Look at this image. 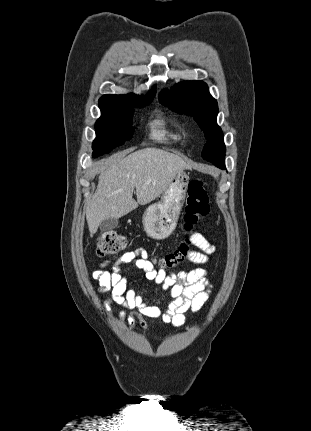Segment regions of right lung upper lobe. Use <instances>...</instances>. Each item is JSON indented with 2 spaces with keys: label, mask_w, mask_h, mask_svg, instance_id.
I'll return each mask as SVG.
<instances>
[{
  "label": "right lung upper lobe",
  "mask_w": 311,
  "mask_h": 431,
  "mask_svg": "<svg viewBox=\"0 0 311 431\" xmlns=\"http://www.w3.org/2000/svg\"><path fill=\"white\" fill-rule=\"evenodd\" d=\"M156 93L155 87L150 91V93L148 94L147 98L150 97H154ZM104 98H120V99H139L138 96L134 95V94H127V95H112V94H108V95H104Z\"/></svg>",
  "instance_id": "right-lung-upper-lobe-1"
}]
</instances>
